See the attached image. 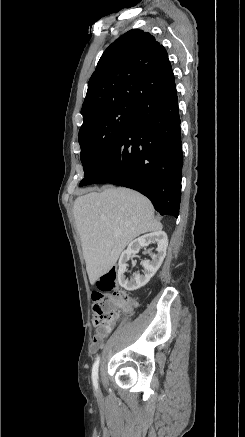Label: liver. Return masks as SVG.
<instances>
[{
    "label": "liver",
    "mask_w": 245,
    "mask_h": 437,
    "mask_svg": "<svg viewBox=\"0 0 245 437\" xmlns=\"http://www.w3.org/2000/svg\"><path fill=\"white\" fill-rule=\"evenodd\" d=\"M73 214L92 285L116 264L134 238L162 230L151 202L126 188L108 187L79 196Z\"/></svg>",
    "instance_id": "6515ba94"
}]
</instances>
